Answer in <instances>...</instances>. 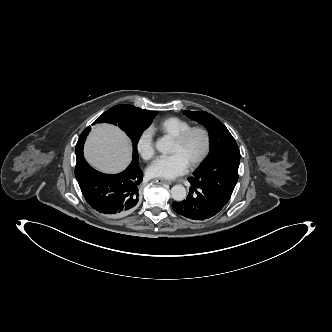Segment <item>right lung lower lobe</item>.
Returning <instances> with one entry per match:
<instances>
[{
  "label": "right lung lower lobe",
  "mask_w": 332,
  "mask_h": 332,
  "mask_svg": "<svg viewBox=\"0 0 332 332\" xmlns=\"http://www.w3.org/2000/svg\"><path fill=\"white\" fill-rule=\"evenodd\" d=\"M91 127H87L77 142L75 176L88 204L110 217H121L133 212L139 204L138 185L143 173L139 166L130 164L116 175L103 174L93 169L84 159L83 145ZM77 146V145H76Z\"/></svg>",
  "instance_id": "98d812e1"
}]
</instances>
